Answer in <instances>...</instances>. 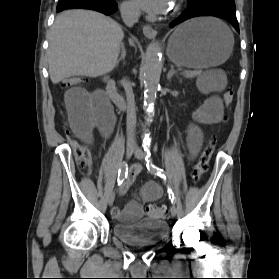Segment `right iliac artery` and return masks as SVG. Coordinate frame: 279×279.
I'll use <instances>...</instances> for the list:
<instances>
[{
	"label": "right iliac artery",
	"mask_w": 279,
	"mask_h": 279,
	"mask_svg": "<svg viewBox=\"0 0 279 279\" xmlns=\"http://www.w3.org/2000/svg\"><path fill=\"white\" fill-rule=\"evenodd\" d=\"M127 170H128L127 163L124 162L121 166V169L118 172V179H117L118 185H121L125 180V178H127Z\"/></svg>",
	"instance_id": "1"
}]
</instances>
